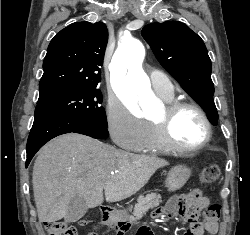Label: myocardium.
I'll use <instances>...</instances> for the list:
<instances>
[{"instance_id":"obj_1","label":"myocardium","mask_w":250,"mask_h":235,"mask_svg":"<svg viewBox=\"0 0 250 235\" xmlns=\"http://www.w3.org/2000/svg\"><path fill=\"white\" fill-rule=\"evenodd\" d=\"M185 109H192L197 112L203 120L205 126V136L201 142L195 146L179 145L172 136V123L176 115ZM152 124L158 130V134L162 143L170 150L178 153H192L203 149L211 139L212 126L210 119L205 110L196 102L187 100H175L166 103L164 106V113L158 120H153Z\"/></svg>"}]
</instances>
